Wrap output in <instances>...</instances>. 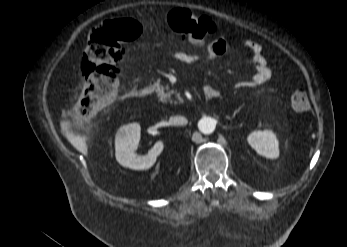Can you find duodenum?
<instances>
[{
    "label": "duodenum",
    "instance_id": "duodenum-1",
    "mask_svg": "<svg viewBox=\"0 0 347 247\" xmlns=\"http://www.w3.org/2000/svg\"><path fill=\"white\" fill-rule=\"evenodd\" d=\"M150 92L151 90L148 87L132 88L127 92V95L130 97L142 98L148 96ZM203 95L206 100H211L217 96V91L211 87H206L204 89Z\"/></svg>",
    "mask_w": 347,
    "mask_h": 247
}]
</instances>
